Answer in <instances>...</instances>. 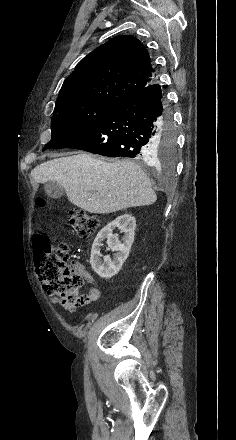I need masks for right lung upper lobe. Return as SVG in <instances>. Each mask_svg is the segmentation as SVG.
Instances as JSON below:
<instances>
[{
  "mask_svg": "<svg viewBox=\"0 0 236 440\" xmlns=\"http://www.w3.org/2000/svg\"><path fill=\"white\" fill-rule=\"evenodd\" d=\"M154 72L149 53L137 38L117 36L77 64L56 104L89 100L118 106L154 84Z\"/></svg>",
  "mask_w": 236,
  "mask_h": 440,
  "instance_id": "obj_1",
  "label": "right lung upper lobe"
}]
</instances>
